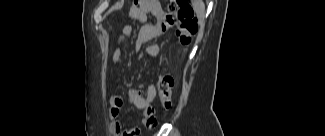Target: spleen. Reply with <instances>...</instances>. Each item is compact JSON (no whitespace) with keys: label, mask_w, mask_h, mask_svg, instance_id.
<instances>
[{"label":"spleen","mask_w":325,"mask_h":136,"mask_svg":"<svg viewBox=\"0 0 325 136\" xmlns=\"http://www.w3.org/2000/svg\"><path fill=\"white\" fill-rule=\"evenodd\" d=\"M202 7L204 6L203 3L201 2Z\"/></svg>","instance_id":"1"}]
</instances>
